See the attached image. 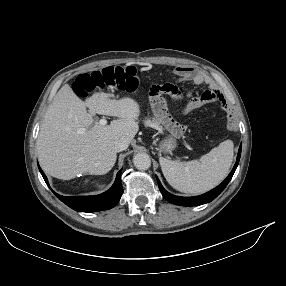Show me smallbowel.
<instances>
[{
	"mask_svg": "<svg viewBox=\"0 0 286 286\" xmlns=\"http://www.w3.org/2000/svg\"><path fill=\"white\" fill-rule=\"evenodd\" d=\"M175 74L185 80H191L193 83L200 85V84H208L211 88L209 90L203 91L198 96L192 98L188 103L181 107L182 114H189L205 104L214 102V101H221L223 100V96L221 92L211 83L207 75L200 71L196 70L190 66H179L175 69ZM179 99V91L178 94L174 95ZM225 104V103H224Z\"/></svg>",
	"mask_w": 286,
	"mask_h": 286,
	"instance_id": "obj_1",
	"label": "small bowel"
}]
</instances>
